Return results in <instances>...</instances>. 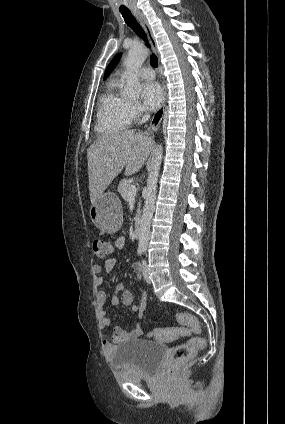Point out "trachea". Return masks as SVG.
Listing matches in <instances>:
<instances>
[{"label": "trachea", "mask_w": 285, "mask_h": 424, "mask_svg": "<svg viewBox=\"0 0 285 424\" xmlns=\"http://www.w3.org/2000/svg\"><path fill=\"white\" fill-rule=\"evenodd\" d=\"M126 24L138 35L140 36L146 43H148L147 36L143 30V28L140 26V24L136 21L134 16L131 14L129 10H121L120 11ZM150 64L153 67H158V59L155 54H152L150 59Z\"/></svg>", "instance_id": "1"}]
</instances>
